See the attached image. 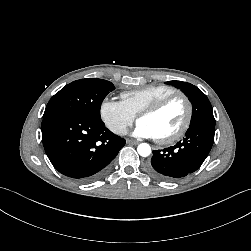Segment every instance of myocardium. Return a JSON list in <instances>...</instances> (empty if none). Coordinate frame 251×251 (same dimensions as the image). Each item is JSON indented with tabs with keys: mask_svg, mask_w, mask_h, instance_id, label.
I'll return each instance as SVG.
<instances>
[{
	"mask_svg": "<svg viewBox=\"0 0 251 251\" xmlns=\"http://www.w3.org/2000/svg\"><path fill=\"white\" fill-rule=\"evenodd\" d=\"M175 99H181L185 103V106H186L185 119H184L182 125L180 126V128L176 132H174L173 134L166 136V137L157 138V142L162 145L172 144V143L178 141L188 131V129L191 125L192 116H193V105H192V102L189 99V97L186 94H184L183 92L176 91L170 95L165 96L164 98L155 102L151 106L147 107L142 112H140L138 115V120H140L142 117L157 114L158 112L163 110L167 105H169Z\"/></svg>",
	"mask_w": 251,
	"mask_h": 251,
	"instance_id": "1",
	"label": "myocardium"
}]
</instances>
